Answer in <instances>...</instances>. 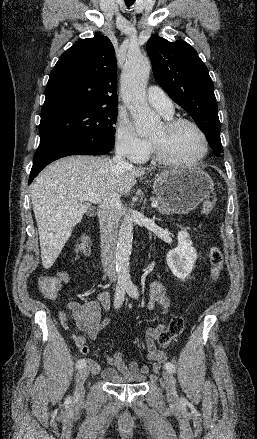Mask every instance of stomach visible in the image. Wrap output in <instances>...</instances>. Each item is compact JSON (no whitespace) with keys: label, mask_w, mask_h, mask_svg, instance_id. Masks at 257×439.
<instances>
[{"label":"stomach","mask_w":257,"mask_h":439,"mask_svg":"<svg viewBox=\"0 0 257 439\" xmlns=\"http://www.w3.org/2000/svg\"><path fill=\"white\" fill-rule=\"evenodd\" d=\"M214 189L211 177L201 169L172 170L157 174L153 191L177 214L197 208Z\"/></svg>","instance_id":"stomach-1"}]
</instances>
